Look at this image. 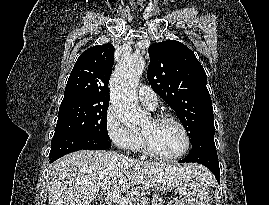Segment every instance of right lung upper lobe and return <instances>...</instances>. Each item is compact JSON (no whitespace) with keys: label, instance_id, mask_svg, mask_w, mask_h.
<instances>
[{"label":"right lung upper lobe","instance_id":"right-lung-upper-lobe-1","mask_svg":"<svg viewBox=\"0 0 269 205\" xmlns=\"http://www.w3.org/2000/svg\"><path fill=\"white\" fill-rule=\"evenodd\" d=\"M114 63L111 44L93 46L77 59L69 76L61 106L109 104L108 83Z\"/></svg>","mask_w":269,"mask_h":205}]
</instances>
